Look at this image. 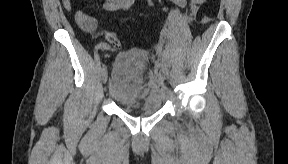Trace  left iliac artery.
I'll return each mask as SVG.
<instances>
[{"label": "left iliac artery", "instance_id": "1", "mask_svg": "<svg viewBox=\"0 0 288 164\" xmlns=\"http://www.w3.org/2000/svg\"><path fill=\"white\" fill-rule=\"evenodd\" d=\"M166 58H167L166 53H163V54H162V60H166Z\"/></svg>", "mask_w": 288, "mask_h": 164}]
</instances>
